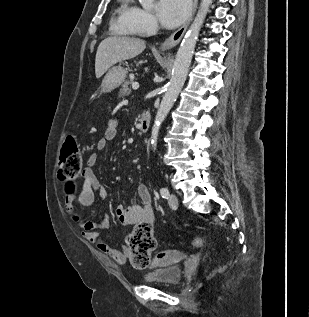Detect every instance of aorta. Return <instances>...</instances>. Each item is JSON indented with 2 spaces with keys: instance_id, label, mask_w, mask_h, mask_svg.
Here are the masks:
<instances>
[{
  "instance_id": "aorta-1",
  "label": "aorta",
  "mask_w": 309,
  "mask_h": 317,
  "mask_svg": "<svg viewBox=\"0 0 309 317\" xmlns=\"http://www.w3.org/2000/svg\"><path fill=\"white\" fill-rule=\"evenodd\" d=\"M139 2L146 10L153 8L154 0H139ZM212 2L213 0H201L198 13L177 51L173 64L172 75L170 81L167 84L166 92L163 96L155 117L154 125L152 127L151 145L154 151L156 150L157 146L160 126L172 108L185 83L199 32Z\"/></svg>"
}]
</instances>
